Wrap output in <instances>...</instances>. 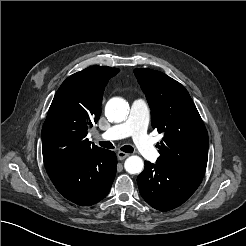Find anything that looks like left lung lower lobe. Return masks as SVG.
<instances>
[{
    "label": "left lung lower lobe",
    "instance_id": "0a47b994",
    "mask_svg": "<svg viewBox=\"0 0 246 246\" xmlns=\"http://www.w3.org/2000/svg\"><path fill=\"white\" fill-rule=\"evenodd\" d=\"M205 169L172 162L145 161L137 182L141 196L153 208L169 211L183 204L198 188Z\"/></svg>",
    "mask_w": 246,
    "mask_h": 246
}]
</instances>
